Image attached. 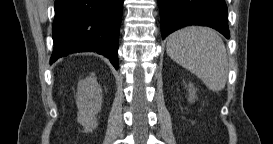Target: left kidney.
Wrapping results in <instances>:
<instances>
[{
  "instance_id": "obj_1",
  "label": "left kidney",
  "mask_w": 273,
  "mask_h": 144,
  "mask_svg": "<svg viewBox=\"0 0 273 144\" xmlns=\"http://www.w3.org/2000/svg\"><path fill=\"white\" fill-rule=\"evenodd\" d=\"M196 99V89L194 85L190 84L189 85V98L188 101L192 102Z\"/></svg>"
}]
</instances>
